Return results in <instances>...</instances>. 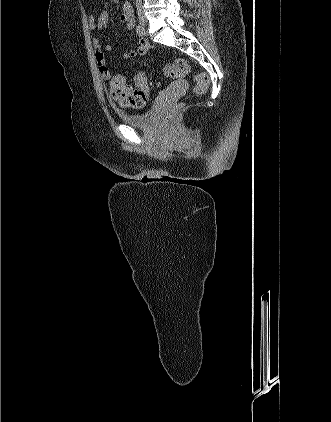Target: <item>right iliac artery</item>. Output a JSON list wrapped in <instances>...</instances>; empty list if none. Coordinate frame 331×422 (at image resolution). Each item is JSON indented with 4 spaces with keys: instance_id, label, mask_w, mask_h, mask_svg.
<instances>
[{
    "instance_id": "82829eb1",
    "label": "right iliac artery",
    "mask_w": 331,
    "mask_h": 422,
    "mask_svg": "<svg viewBox=\"0 0 331 422\" xmlns=\"http://www.w3.org/2000/svg\"><path fill=\"white\" fill-rule=\"evenodd\" d=\"M136 32H137V34L139 36H144L145 35V30H144V28L140 24L137 25Z\"/></svg>"
}]
</instances>
